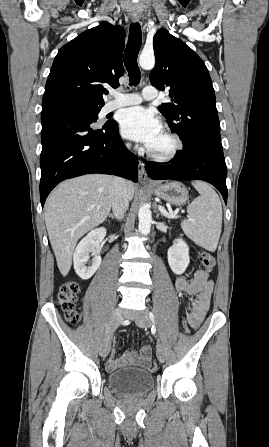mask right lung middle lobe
Masks as SVG:
<instances>
[{
  "instance_id": "1",
  "label": "right lung middle lobe",
  "mask_w": 269,
  "mask_h": 447,
  "mask_svg": "<svg viewBox=\"0 0 269 447\" xmlns=\"http://www.w3.org/2000/svg\"><path fill=\"white\" fill-rule=\"evenodd\" d=\"M103 104H77L72 106L63 107L60 109H67L71 108L75 113L80 115L81 117H84L88 119L89 121L96 122L98 119V114L100 112V109L102 108ZM116 122H109L105 125H112Z\"/></svg>"
}]
</instances>
